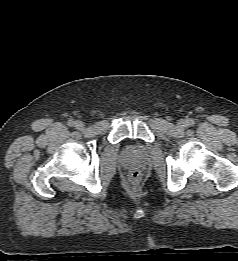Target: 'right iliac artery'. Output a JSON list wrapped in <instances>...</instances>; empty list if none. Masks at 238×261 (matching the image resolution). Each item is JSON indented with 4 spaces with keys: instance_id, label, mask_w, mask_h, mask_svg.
Wrapping results in <instances>:
<instances>
[{
    "instance_id": "1",
    "label": "right iliac artery",
    "mask_w": 238,
    "mask_h": 261,
    "mask_svg": "<svg viewBox=\"0 0 238 261\" xmlns=\"http://www.w3.org/2000/svg\"><path fill=\"white\" fill-rule=\"evenodd\" d=\"M68 125H69L70 127L74 126V125H75V121H74V120H69V121H68Z\"/></svg>"
}]
</instances>
